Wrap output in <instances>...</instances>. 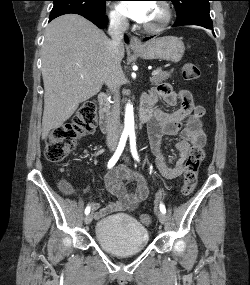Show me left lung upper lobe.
Listing matches in <instances>:
<instances>
[{
	"instance_id": "5c2ea615",
	"label": "left lung upper lobe",
	"mask_w": 250,
	"mask_h": 285,
	"mask_svg": "<svg viewBox=\"0 0 250 285\" xmlns=\"http://www.w3.org/2000/svg\"><path fill=\"white\" fill-rule=\"evenodd\" d=\"M172 1L177 11L175 24L188 25L190 23L204 22L212 24L210 17L211 0H169Z\"/></svg>"
}]
</instances>
